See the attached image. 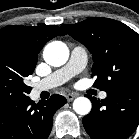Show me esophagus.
I'll return each mask as SVG.
<instances>
[{"instance_id": "1", "label": "esophagus", "mask_w": 139, "mask_h": 139, "mask_svg": "<svg viewBox=\"0 0 139 139\" xmlns=\"http://www.w3.org/2000/svg\"><path fill=\"white\" fill-rule=\"evenodd\" d=\"M75 97H76V95L75 94H71V93L66 95L67 101H72Z\"/></svg>"}]
</instances>
